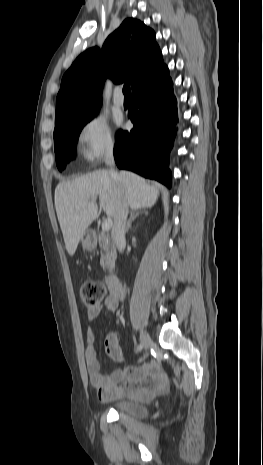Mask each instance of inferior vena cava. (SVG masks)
Here are the masks:
<instances>
[{"instance_id": "1", "label": "inferior vena cava", "mask_w": 263, "mask_h": 465, "mask_svg": "<svg viewBox=\"0 0 263 465\" xmlns=\"http://www.w3.org/2000/svg\"><path fill=\"white\" fill-rule=\"evenodd\" d=\"M105 163L107 166L110 167L109 174L114 180L117 181L118 173L113 169L115 162H114V156H113L112 149L107 150L106 155H105ZM127 215H128V203L122 190H119L118 207H117L116 214L114 216V238H115L116 247L119 252H122L126 244L125 226H126Z\"/></svg>"}]
</instances>
